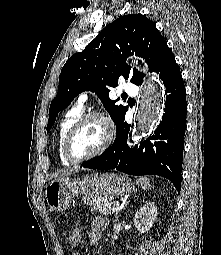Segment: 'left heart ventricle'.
<instances>
[{"instance_id": "b2bd125f", "label": "left heart ventricle", "mask_w": 221, "mask_h": 255, "mask_svg": "<svg viewBox=\"0 0 221 255\" xmlns=\"http://www.w3.org/2000/svg\"><path fill=\"white\" fill-rule=\"evenodd\" d=\"M105 138L103 124L96 119L88 121L76 134L72 142V153L81 158L96 151Z\"/></svg>"}]
</instances>
